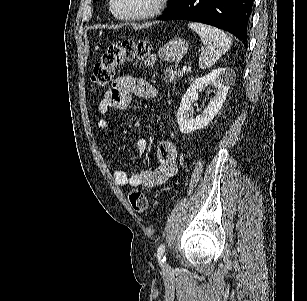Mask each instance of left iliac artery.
Instances as JSON below:
<instances>
[{"label": "left iliac artery", "instance_id": "1", "mask_svg": "<svg viewBox=\"0 0 307 301\" xmlns=\"http://www.w3.org/2000/svg\"><path fill=\"white\" fill-rule=\"evenodd\" d=\"M164 252H165V244H161L157 251L158 261L161 265H163L165 261Z\"/></svg>", "mask_w": 307, "mask_h": 301}]
</instances>
